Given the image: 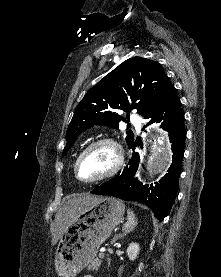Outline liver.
Segmentation results:
<instances>
[{
	"instance_id": "obj_1",
	"label": "liver",
	"mask_w": 221,
	"mask_h": 277,
	"mask_svg": "<svg viewBox=\"0 0 221 277\" xmlns=\"http://www.w3.org/2000/svg\"><path fill=\"white\" fill-rule=\"evenodd\" d=\"M99 198V196L84 194L68 200L56 213L52 244L55 245L57 243L79 211L96 202Z\"/></svg>"
}]
</instances>
